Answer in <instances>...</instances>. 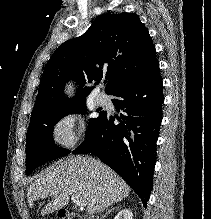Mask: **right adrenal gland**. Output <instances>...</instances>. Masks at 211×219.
Listing matches in <instances>:
<instances>
[{
	"label": "right adrenal gland",
	"mask_w": 211,
	"mask_h": 219,
	"mask_svg": "<svg viewBox=\"0 0 211 219\" xmlns=\"http://www.w3.org/2000/svg\"><path fill=\"white\" fill-rule=\"evenodd\" d=\"M118 209H119L118 206L113 207V208H111V209H108V210L106 211V213L101 217V219H105V218L108 216L109 213H111V212L114 211V210H118Z\"/></svg>",
	"instance_id": "2a0ac1e0"
}]
</instances>
